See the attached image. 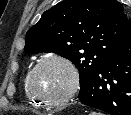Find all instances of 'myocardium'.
I'll list each match as a JSON object with an SVG mask.
<instances>
[{"label":"myocardium","instance_id":"obj_1","mask_svg":"<svg viewBox=\"0 0 131 115\" xmlns=\"http://www.w3.org/2000/svg\"><path fill=\"white\" fill-rule=\"evenodd\" d=\"M50 62H57L64 65L68 71L70 72L71 81L68 89L58 98H46L40 94H38L33 85L34 75L36 74L37 70L42 67L43 65L50 63ZM80 85V74L75 66V64L67 57L62 55H49L41 60H39L34 67L29 71L27 77V87L30 94L41 104L49 107H57L65 102H67L70 98H72L75 93L77 92Z\"/></svg>","mask_w":131,"mask_h":115}]
</instances>
